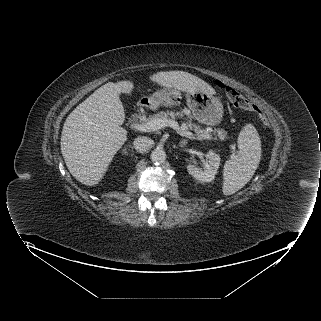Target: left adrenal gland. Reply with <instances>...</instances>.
<instances>
[{
    "mask_svg": "<svg viewBox=\"0 0 321 321\" xmlns=\"http://www.w3.org/2000/svg\"><path fill=\"white\" fill-rule=\"evenodd\" d=\"M188 144V141L187 140H182L181 142H180V147H184V146H186Z\"/></svg>",
    "mask_w": 321,
    "mask_h": 321,
    "instance_id": "obj_1",
    "label": "left adrenal gland"
}]
</instances>
